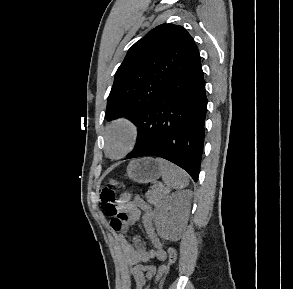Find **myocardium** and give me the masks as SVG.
Returning <instances> with one entry per match:
<instances>
[{
    "instance_id": "myocardium-1",
    "label": "myocardium",
    "mask_w": 293,
    "mask_h": 289,
    "mask_svg": "<svg viewBox=\"0 0 293 289\" xmlns=\"http://www.w3.org/2000/svg\"><path fill=\"white\" fill-rule=\"evenodd\" d=\"M123 128L128 133V143L123 151L118 155H112L109 152V138L111 133L118 129ZM140 137V125L139 123L132 117L129 116H121L113 120L106 128L104 133V150L106 155L112 159H119L130 153L133 148L136 146Z\"/></svg>"
}]
</instances>
